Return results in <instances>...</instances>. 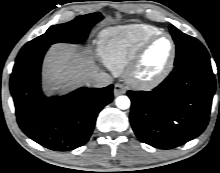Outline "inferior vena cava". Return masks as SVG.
Instances as JSON below:
<instances>
[{"mask_svg":"<svg viewBox=\"0 0 220 173\" xmlns=\"http://www.w3.org/2000/svg\"><path fill=\"white\" fill-rule=\"evenodd\" d=\"M112 82L113 79L109 74L105 72H99L91 76L88 82V86L94 88H102L112 84Z\"/></svg>","mask_w":220,"mask_h":173,"instance_id":"602c4592","label":"inferior vena cava"}]
</instances>
